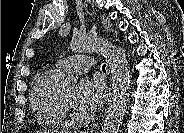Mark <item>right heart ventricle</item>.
Instances as JSON below:
<instances>
[{
  "instance_id": "right-heart-ventricle-1",
  "label": "right heart ventricle",
  "mask_w": 184,
  "mask_h": 133,
  "mask_svg": "<svg viewBox=\"0 0 184 133\" xmlns=\"http://www.w3.org/2000/svg\"><path fill=\"white\" fill-rule=\"evenodd\" d=\"M60 73L57 68L42 71L36 78L32 90L33 111L42 122L48 125L60 124L65 116L57 85Z\"/></svg>"
}]
</instances>
